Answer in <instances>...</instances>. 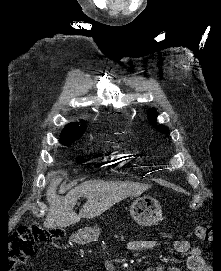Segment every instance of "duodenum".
Segmentation results:
<instances>
[{
	"mask_svg": "<svg viewBox=\"0 0 221 271\" xmlns=\"http://www.w3.org/2000/svg\"><path fill=\"white\" fill-rule=\"evenodd\" d=\"M75 241H76L77 243H84V242L86 241V239H85V237H83V236H77V237L75 238Z\"/></svg>",
	"mask_w": 221,
	"mask_h": 271,
	"instance_id": "obj_1",
	"label": "duodenum"
}]
</instances>
